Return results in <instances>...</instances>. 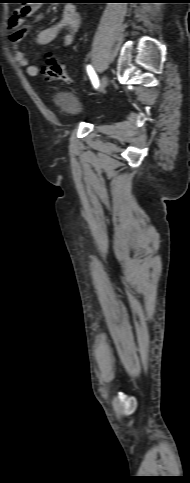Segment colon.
<instances>
[{
  "label": "colon",
  "mask_w": 190,
  "mask_h": 483,
  "mask_svg": "<svg viewBox=\"0 0 190 483\" xmlns=\"http://www.w3.org/2000/svg\"><path fill=\"white\" fill-rule=\"evenodd\" d=\"M42 75L47 80H57L62 83H70L71 77L66 73L63 64L53 58H48L42 68Z\"/></svg>",
  "instance_id": "colon-1"
}]
</instances>
